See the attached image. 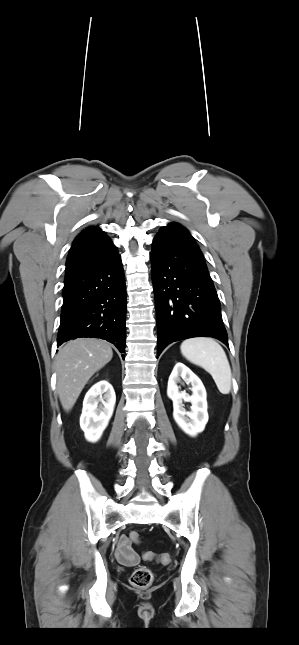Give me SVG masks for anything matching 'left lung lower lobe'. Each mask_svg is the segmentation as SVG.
I'll list each match as a JSON object with an SVG mask.
<instances>
[{
  "label": "left lung lower lobe",
  "mask_w": 299,
  "mask_h": 645,
  "mask_svg": "<svg viewBox=\"0 0 299 645\" xmlns=\"http://www.w3.org/2000/svg\"><path fill=\"white\" fill-rule=\"evenodd\" d=\"M157 357L172 342L214 337L228 346L221 306L203 254L180 224L162 227L152 243Z\"/></svg>",
  "instance_id": "0a47b994"
}]
</instances>
